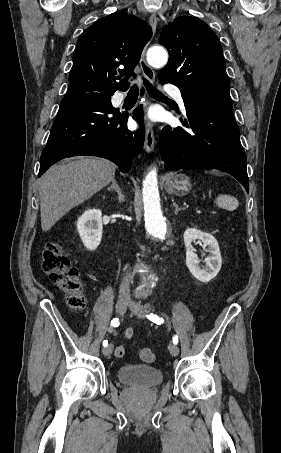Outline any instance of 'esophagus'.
<instances>
[{
    "label": "esophagus",
    "mask_w": 281,
    "mask_h": 453,
    "mask_svg": "<svg viewBox=\"0 0 281 453\" xmlns=\"http://www.w3.org/2000/svg\"><path fill=\"white\" fill-rule=\"evenodd\" d=\"M150 25L152 27V31L155 32L156 25H157V18H156L155 13H152V15L150 17ZM147 46L148 45L145 46V48L142 52L141 59H140V67H141L144 77L147 80H149V82L154 83V81H155L154 70L148 65V63L145 60V53H146ZM154 142H155L154 131H153L151 123L148 122L147 127H146L145 140H144V150L147 153L152 152V150L154 149Z\"/></svg>",
    "instance_id": "obj_1"
}]
</instances>
